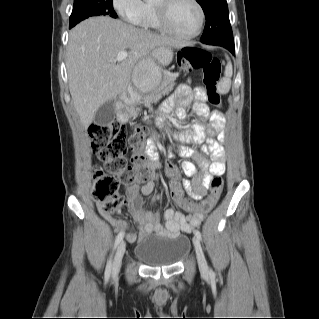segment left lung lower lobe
<instances>
[{
    "label": "left lung lower lobe",
    "instance_id": "left-lung-lower-lobe-1",
    "mask_svg": "<svg viewBox=\"0 0 319 319\" xmlns=\"http://www.w3.org/2000/svg\"><path fill=\"white\" fill-rule=\"evenodd\" d=\"M221 46L228 49L232 54L235 53L234 42L233 43H224Z\"/></svg>",
    "mask_w": 319,
    "mask_h": 319
}]
</instances>
